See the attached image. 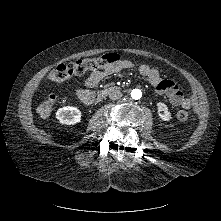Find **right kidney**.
Here are the masks:
<instances>
[{"label":"right kidney","mask_w":221,"mask_h":221,"mask_svg":"<svg viewBox=\"0 0 221 221\" xmlns=\"http://www.w3.org/2000/svg\"><path fill=\"white\" fill-rule=\"evenodd\" d=\"M56 118L62 124L74 125L81 121V112L76 107L66 106L57 110Z\"/></svg>","instance_id":"obj_1"}]
</instances>
